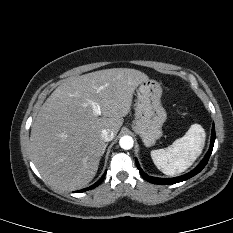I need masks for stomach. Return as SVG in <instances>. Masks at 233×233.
Instances as JSON below:
<instances>
[{
    "mask_svg": "<svg viewBox=\"0 0 233 233\" xmlns=\"http://www.w3.org/2000/svg\"><path fill=\"white\" fill-rule=\"evenodd\" d=\"M135 120L132 129L146 147L153 146L162 136V126L167 119L161 104L162 87L156 80H146L137 87Z\"/></svg>",
    "mask_w": 233,
    "mask_h": 233,
    "instance_id": "stomach-1",
    "label": "stomach"
}]
</instances>
